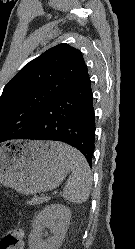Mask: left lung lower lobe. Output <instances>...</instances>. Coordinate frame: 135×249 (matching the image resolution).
Returning a JSON list of instances; mask_svg holds the SVG:
<instances>
[{"label": "left lung lower lobe", "instance_id": "left-lung-lower-lobe-1", "mask_svg": "<svg viewBox=\"0 0 135 249\" xmlns=\"http://www.w3.org/2000/svg\"><path fill=\"white\" fill-rule=\"evenodd\" d=\"M95 111L91 80L84 81L47 105L34 128L17 139L62 141L76 147L92 165Z\"/></svg>", "mask_w": 135, "mask_h": 249}]
</instances>
